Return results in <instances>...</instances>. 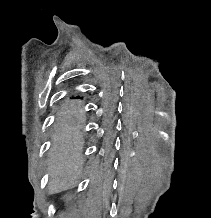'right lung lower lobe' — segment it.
I'll return each mask as SVG.
<instances>
[{
  "mask_svg": "<svg viewBox=\"0 0 211 218\" xmlns=\"http://www.w3.org/2000/svg\"><path fill=\"white\" fill-rule=\"evenodd\" d=\"M71 98H80V96L73 97V95H72Z\"/></svg>",
  "mask_w": 211,
  "mask_h": 218,
  "instance_id": "98d812e1",
  "label": "right lung lower lobe"
}]
</instances>
